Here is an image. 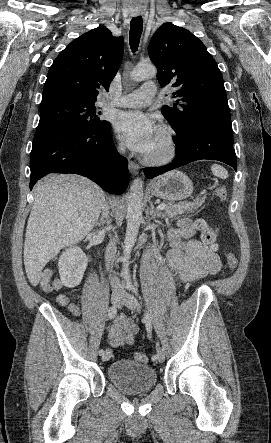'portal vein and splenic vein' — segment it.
<instances>
[{
	"instance_id": "portal-vein-and-splenic-vein-1",
	"label": "portal vein and splenic vein",
	"mask_w": 271,
	"mask_h": 443,
	"mask_svg": "<svg viewBox=\"0 0 271 443\" xmlns=\"http://www.w3.org/2000/svg\"><path fill=\"white\" fill-rule=\"evenodd\" d=\"M166 208V204H159V206H157V210H165Z\"/></svg>"
}]
</instances>
